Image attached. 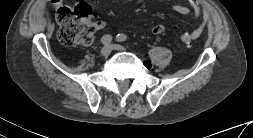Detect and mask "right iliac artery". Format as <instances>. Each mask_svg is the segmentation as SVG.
Listing matches in <instances>:
<instances>
[{
	"mask_svg": "<svg viewBox=\"0 0 253 138\" xmlns=\"http://www.w3.org/2000/svg\"><path fill=\"white\" fill-rule=\"evenodd\" d=\"M112 36L111 35H104L102 38H101V42L102 44L104 45H108L112 42Z\"/></svg>",
	"mask_w": 253,
	"mask_h": 138,
	"instance_id": "right-iliac-artery-1",
	"label": "right iliac artery"
}]
</instances>
